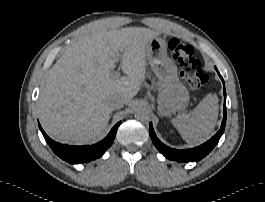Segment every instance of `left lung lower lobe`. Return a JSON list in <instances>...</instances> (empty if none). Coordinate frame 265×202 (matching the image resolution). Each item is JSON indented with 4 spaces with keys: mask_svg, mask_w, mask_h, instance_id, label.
<instances>
[{
    "mask_svg": "<svg viewBox=\"0 0 265 202\" xmlns=\"http://www.w3.org/2000/svg\"><path fill=\"white\" fill-rule=\"evenodd\" d=\"M219 74V73H218ZM220 78L222 79L223 83L224 80L222 76L219 74ZM224 96H226V92L224 90ZM226 124V98H225V104H224V117L221 124L220 130L206 143L192 149H185V150H177L170 148L163 144L155 135V132L153 130L152 124L150 123V137L152 139L153 144L155 147L160 151L161 154H163L166 158L179 161V162H192V161H199L203 157H205L209 152L215 147V145L219 142Z\"/></svg>",
    "mask_w": 265,
    "mask_h": 202,
    "instance_id": "obj_1",
    "label": "left lung lower lobe"
}]
</instances>
